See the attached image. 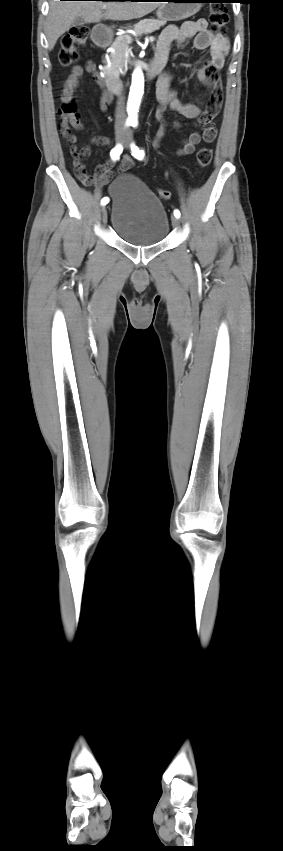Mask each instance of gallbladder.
I'll list each match as a JSON object with an SVG mask.
<instances>
[{
    "instance_id": "bac80fb5",
    "label": "gallbladder",
    "mask_w": 283,
    "mask_h": 851,
    "mask_svg": "<svg viewBox=\"0 0 283 851\" xmlns=\"http://www.w3.org/2000/svg\"><path fill=\"white\" fill-rule=\"evenodd\" d=\"M84 23H85V20H84L83 18H81V17H77V18H75V20H74V22H73V25H74V26H79V25H82V24H84Z\"/></svg>"
}]
</instances>
